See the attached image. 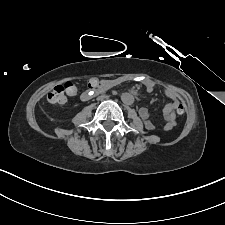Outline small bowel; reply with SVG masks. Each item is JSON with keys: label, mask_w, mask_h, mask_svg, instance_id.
Listing matches in <instances>:
<instances>
[{"label": "small bowel", "mask_w": 225, "mask_h": 225, "mask_svg": "<svg viewBox=\"0 0 225 225\" xmlns=\"http://www.w3.org/2000/svg\"><path fill=\"white\" fill-rule=\"evenodd\" d=\"M91 81H96L97 83L95 85L89 86V90H87L83 95V100H88L91 96L92 91L96 90L101 87H107L113 84V81L110 80H99L97 78L90 79ZM105 83V84H104ZM146 90L148 92H152L154 90V85L151 83H147ZM164 94L171 99V102L165 105V107L162 110L163 119L165 121L164 130H170L176 125V107L181 104L180 97L171 89L164 88ZM139 115L143 119L145 127L149 130H152L155 128V124L153 120L151 119V114L149 110L146 107H141L139 109Z\"/></svg>", "instance_id": "1"}]
</instances>
